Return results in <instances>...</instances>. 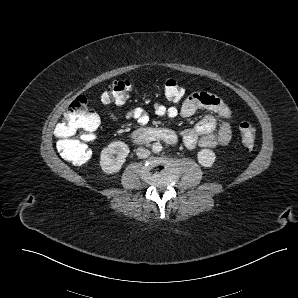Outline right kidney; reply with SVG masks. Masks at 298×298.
Wrapping results in <instances>:
<instances>
[{
  "instance_id": "right-kidney-1",
  "label": "right kidney",
  "mask_w": 298,
  "mask_h": 298,
  "mask_svg": "<svg viewBox=\"0 0 298 298\" xmlns=\"http://www.w3.org/2000/svg\"><path fill=\"white\" fill-rule=\"evenodd\" d=\"M128 153L129 147L124 142L114 141L110 143L100 154L103 171L106 173L118 171L123 165Z\"/></svg>"
}]
</instances>
